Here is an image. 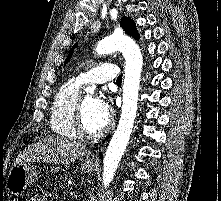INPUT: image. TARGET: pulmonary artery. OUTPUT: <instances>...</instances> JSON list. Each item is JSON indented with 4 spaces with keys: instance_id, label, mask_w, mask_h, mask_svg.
<instances>
[{
    "instance_id": "1",
    "label": "pulmonary artery",
    "mask_w": 221,
    "mask_h": 201,
    "mask_svg": "<svg viewBox=\"0 0 221 201\" xmlns=\"http://www.w3.org/2000/svg\"><path fill=\"white\" fill-rule=\"evenodd\" d=\"M118 76L119 68L115 64L104 63L86 73H81L76 77L75 82L78 85L93 83L100 84L109 80H117Z\"/></svg>"
}]
</instances>
